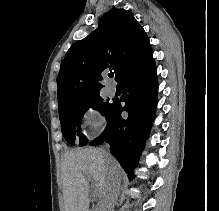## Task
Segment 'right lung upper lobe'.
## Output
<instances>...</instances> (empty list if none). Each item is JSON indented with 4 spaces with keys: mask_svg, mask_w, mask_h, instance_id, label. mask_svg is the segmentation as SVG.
<instances>
[{
    "mask_svg": "<svg viewBox=\"0 0 219 211\" xmlns=\"http://www.w3.org/2000/svg\"><path fill=\"white\" fill-rule=\"evenodd\" d=\"M153 57L148 36L130 11L113 9L86 38L66 53L57 77L59 105L100 94L103 76L115 71L119 83Z\"/></svg>",
    "mask_w": 219,
    "mask_h": 211,
    "instance_id": "right-lung-upper-lobe-1",
    "label": "right lung upper lobe"
}]
</instances>
